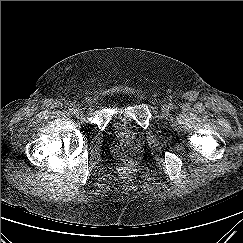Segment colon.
Here are the masks:
<instances>
[{"label": "colon", "mask_w": 243, "mask_h": 243, "mask_svg": "<svg viewBox=\"0 0 243 243\" xmlns=\"http://www.w3.org/2000/svg\"><path fill=\"white\" fill-rule=\"evenodd\" d=\"M122 164L125 168L130 169L133 167V161L129 158H125L122 160Z\"/></svg>", "instance_id": "1"}]
</instances>
